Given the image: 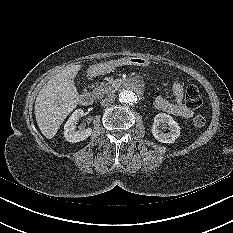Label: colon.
<instances>
[{
	"label": "colon",
	"mask_w": 233,
	"mask_h": 233,
	"mask_svg": "<svg viewBox=\"0 0 233 233\" xmlns=\"http://www.w3.org/2000/svg\"><path fill=\"white\" fill-rule=\"evenodd\" d=\"M185 101H186V104L188 105V107H190V108L195 109L201 105L202 99H201V95H200L197 87L190 85L186 88ZM205 122H206V120H205L204 116L200 115V114L196 115L192 120L193 125L197 128L203 127Z\"/></svg>",
	"instance_id": "1"
}]
</instances>
